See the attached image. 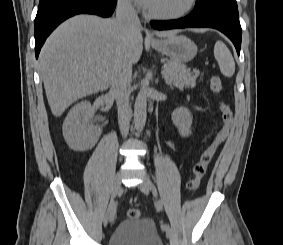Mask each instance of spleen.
Returning a JSON list of instances; mask_svg holds the SVG:
<instances>
[{
    "instance_id": "3e777b00",
    "label": "spleen",
    "mask_w": 283,
    "mask_h": 245,
    "mask_svg": "<svg viewBox=\"0 0 283 245\" xmlns=\"http://www.w3.org/2000/svg\"><path fill=\"white\" fill-rule=\"evenodd\" d=\"M214 57L218 62L221 73L226 77H232L235 73V62L229 49L222 41L216 42Z\"/></svg>"
}]
</instances>
